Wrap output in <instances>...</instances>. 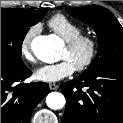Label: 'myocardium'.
Returning a JSON list of instances; mask_svg holds the SVG:
<instances>
[{"label": "myocardium", "mask_w": 123, "mask_h": 123, "mask_svg": "<svg viewBox=\"0 0 123 123\" xmlns=\"http://www.w3.org/2000/svg\"><path fill=\"white\" fill-rule=\"evenodd\" d=\"M88 46V55L84 61L75 66V70L82 72L88 69L96 60L99 50V44L95 36L85 33H80L71 39L65 41V47L69 51H74L81 45Z\"/></svg>", "instance_id": "obj_1"}]
</instances>
